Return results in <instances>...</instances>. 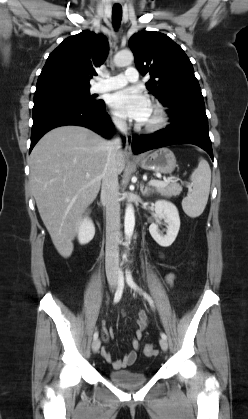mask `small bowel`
<instances>
[{
	"mask_svg": "<svg viewBox=\"0 0 248 419\" xmlns=\"http://www.w3.org/2000/svg\"><path fill=\"white\" fill-rule=\"evenodd\" d=\"M175 279L174 274H168L166 280L169 284H172ZM136 322H137V329L135 332V336L132 339V349L122 358L119 360H113L111 354L107 348H103L101 351V355L105 360L111 363L112 367L116 370L123 369L127 366L134 364L137 358V353L140 350V340L143 337L144 331L148 326V315L140 310L136 314ZM105 340L112 339L114 337V330L110 328H106L105 330Z\"/></svg>",
	"mask_w": 248,
	"mask_h": 419,
	"instance_id": "c3829d8e",
	"label": "small bowel"
}]
</instances>
